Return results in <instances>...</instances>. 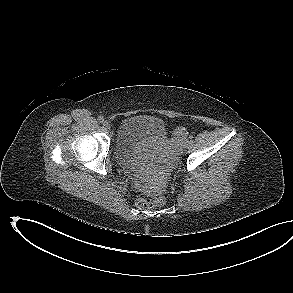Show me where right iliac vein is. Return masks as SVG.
<instances>
[{
    "mask_svg": "<svg viewBox=\"0 0 293 293\" xmlns=\"http://www.w3.org/2000/svg\"><path fill=\"white\" fill-rule=\"evenodd\" d=\"M103 126H104V128L107 129V130H110V128H111V125H110V123H109L108 121H104V122H103Z\"/></svg>",
    "mask_w": 293,
    "mask_h": 293,
    "instance_id": "obj_1",
    "label": "right iliac vein"
}]
</instances>
